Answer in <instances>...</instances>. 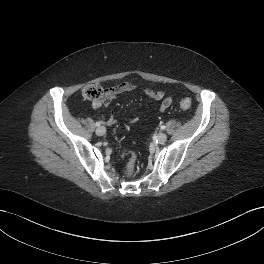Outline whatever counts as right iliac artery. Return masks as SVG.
I'll list each match as a JSON object with an SVG mask.
<instances>
[{
    "label": "right iliac artery",
    "mask_w": 264,
    "mask_h": 264,
    "mask_svg": "<svg viewBox=\"0 0 264 264\" xmlns=\"http://www.w3.org/2000/svg\"><path fill=\"white\" fill-rule=\"evenodd\" d=\"M95 125H96L97 127H99V126H100V122H96Z\"/></svg>",
    "instance_id": "82829eb1"
}]
</instances>
